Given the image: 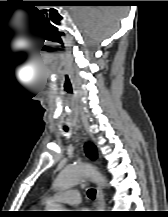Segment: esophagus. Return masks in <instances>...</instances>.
I'll return each instance as SVG.
<instances>
[{
    "label": "esophagus",
    "mask_w": 168,
    "mask_h": 217,
    "mask_svg": "<svg viewBox=\"0 0 168 217\" xmlns=\"http://www.w3.org/2000/svg\"><path fill=\"white\" fill-rule=\"evenodd\" d=\"M105 207V202H104V195L102 188L97 185V193H96V208L100 211L104 209Z\"/></svg>",
    "instance_id": "obj_1"
}]
</instances>
